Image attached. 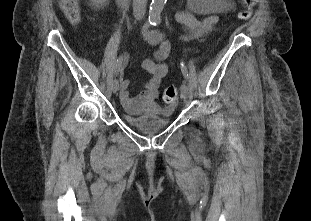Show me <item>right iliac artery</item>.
<instances>
[{
    "label": "right iliac artery",
    "mask_w": 311,
    "mask_h": 221,
    "mask_svg": "<svg viewBox=\"0 0 311 221\" xmlns=\"http://www.w3.org/2000/svg\"><path fill=\"white\" fill-rule=\"evenodd\" d=\"M150 25H154V21L153 20H149L148 22H146V24L143 26L142 28V32H144ZM122 63H123V57L120 56L116 63H115V69H114V74L115 76L118 75L119 71H120V68L122 66Z\"/></svg>",
    "instance_id": "right-iliac-artery-1"
}]
</instances>
